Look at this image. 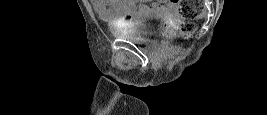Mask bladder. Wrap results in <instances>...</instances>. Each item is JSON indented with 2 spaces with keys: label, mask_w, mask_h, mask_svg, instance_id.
<instances>
[{
  "label": "bladder",
  "mask_w": 267,
  "mask_h": 115,
  "mask_svg": "<svg viewBox=\"0 0 267 115\" xmlns=\"http://www.w3.org/2000/svg\"><path fill=\"white\" fill-rule=\"evenodd\" d=\"M162 16L155 13L142 15L139 21L129 25H118L111 28L112 33L123 39L132 41H147L155 35V29L150 24L157 23Z\"/></svg>",
  "instance_id": "bladder-1"
}]
</instances>
